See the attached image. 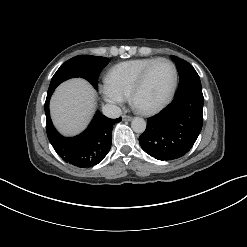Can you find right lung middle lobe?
Wrapping results in <instances>:
<instances>
[{
    "mask_svg": "<svg viewBox=\"0 0 247 247\" xmlns=\"http://www.w3.org/2000/svg\"><path fill=\"white\" fill-rule=\"evenodd\" d=\"M109 61L105 57L91 55L75 56L63 63L57 70L51 79L48 91L54 90L63 81L74 77H82L88 80L97 89L98 76Z\"/></svg>",
    "mask_w": 247,
    "mask_h": 247,
    "instance_id": "right-lung-middle-lobe-1",
    "label": "right lung middle lobe"
}]
</instances>
